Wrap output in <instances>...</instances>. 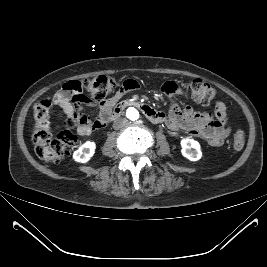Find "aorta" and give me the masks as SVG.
Instances as JSON below:
<instances>
[{"mask_svg":"<svg viewBox=\"0 0 267 267\" xmlns=\"http://www.w3.org/2000/svg\"><path fill=\"white\" fill-rule=\"evenodd\" d=\"M126 117L130 120V121H137L140 118V111L135 108V107H129L126 110Z\"/></svg>","mask_w":267,"mask_h":267,"instance_id":"obj_1","label":"aorta"}]
</instances>
